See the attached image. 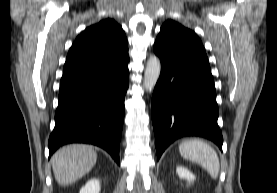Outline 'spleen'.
<instances>
[{
	"instance_id": "obj_1",
	"label": "spleen",
	"mask_w": 277,
	"mask_h": 193,
	"mask_svg": "<svg viewBox=\"0 0 277 193\" xmlns=\"http://www.w3.org/2000/svg\"><path fill=\"white\" fill-rule=\"evenodd\" d=\"M179 152L183 158L200 164L212 178H217L220 170L219 158L209 144L199 139L186 140L179 145Z\"/></svg>"
}]
</instances>
